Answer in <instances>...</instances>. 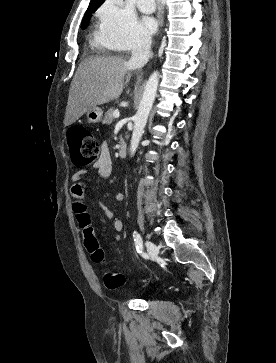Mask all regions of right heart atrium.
I'll return each mask as SVG.
<instances>
[{"mask_svg": "<svg viewBox=\"0 0 276 363\" xmlns=\"http://www.w3.org/2000/svg\"><path fill=\"white\" fill-rule=\"evenodd\" d=\"M99 19L101 35L116 49L129 50L149 41L134 11L122 0H107L99 10Z\"/></svg>", "mask_w": 276, "mask_h": 363, "instance_id": "obj_1", "label": "right heart atrium"}]
</instances>
